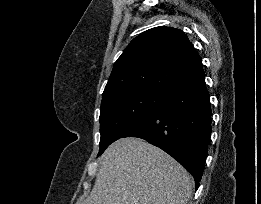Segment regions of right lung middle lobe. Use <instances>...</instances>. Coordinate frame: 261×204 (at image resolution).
<instances>
[{"mask_svg": "<svg viewBox=\"0 0 261 204\" xmlns=\"http://www.w3.org/2000/svg\"><path fill=\"white\" fill-rule=\"evenodd\" d=\"M166 92L125 90L102 98L100 112V149L98 155L133 124L149 113Z\"/></svg>", "mask_w": 261, "mask_h": 204, "instance_id": "obj_1", "label": "right lung middle lobe"}]
</instances>
